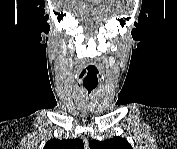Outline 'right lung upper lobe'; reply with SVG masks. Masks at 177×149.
Segmentation results:
<instances>
[{"instance_id": "right-lung-upper-lobe-1", "label": "right lung upper lobe", "mask_w": 177, "mask_h": 149, "mask_svg": "<svg viewBox=\"0 0 177 149\" xmlns=\"http://www.w3.org/2000/svg\"><path fill=\"white\" fill-rule=\"evenodd\" d=\"M84 144L81 139L58 140L51 139L46 144L44 149H83Z\"/></svg>"}]
</instances>
